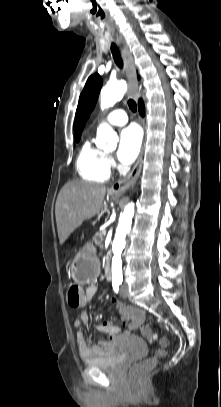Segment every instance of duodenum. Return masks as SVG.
Wrapping results in <instances>:
<instances>
[{
	"instance_id": "1",
	"label": "duodenum",
	"mask_w": 221,
	"mask_h": 407,
	"mask_svg": "<svg viewBox=\"0 0 221 407\" xmlns=\"http://www.w3.org/2000/svg\"><path fill=\"white\" fill-rule=\"evenodd\" d=\"M105 273H106L107 277H109V278L111 277V264L109 261L105 265Z\"/></svg>"
}]
</instances>
